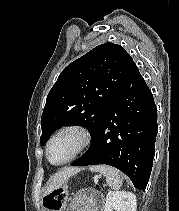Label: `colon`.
Instances as JSON below:
<instances>
[{
	"label": "colon",
	"instance_id": "colon-1",
	"mask_svg": "<svg viewBox=\"0 0 179 211\" xmlns=\"http://www.w3.org/2000/svg\"><path fill=\"white\" fill-rule=\"evenodd\" d=\"M67 200V192L64 189H57L44 198V206L47 211H60Z\"/></svg>",
	"mask_w": 179,
	"mask_h": 211
}]
</instances>
